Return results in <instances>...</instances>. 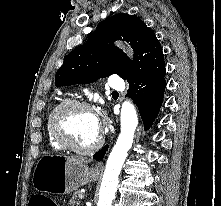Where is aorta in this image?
<instances>
[{
	"label": "aorta",
	"instance_id": "1",
	"mask_svg": "<svg viewBox=\"0 0 221 206\" xmlns=\"http://www.w3.org/2000/svg\"><path fill=\"white\" fill-rule=\"evenodd\" d=\"M120 118L121 132L106 163L97 206H112V201L118 186L119 175L133 143L138 118L131 102L125 101L122 104Z\"/></svg>",
	"mask_w": 221,
	"mask_h": 206
}]
</instances>
